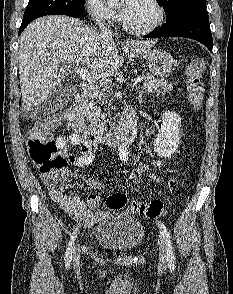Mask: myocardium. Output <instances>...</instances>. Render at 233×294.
<instances>
[{
    "label": "myocardium",
    "instance_id": "myocardium-1",
    "mask_svg": "<svg viewBox=\"0 0 233 294\" xmlns=\"http://www.w3.org/2000/svg\"><path fill=\"white\" fill-rule=\"evenodd\" d=\"M156 10V18L155 20L148 26L142 27V28H136L127 23L124 16L121 17L122 26L123 28L134 35H146L153 31H155L157 28H159L165 19V9L161 5V3L158 0H147Z\"/></svg>",
    "mask_w": 233,
    "mask_h": 294
}]
</instances>
